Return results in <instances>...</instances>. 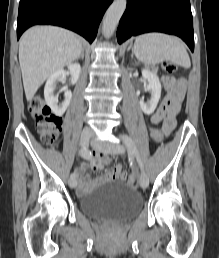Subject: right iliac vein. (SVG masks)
<instances>
[{
	"label": "right iliac vein",
	"instance_id": "1",
	"mask_svg": "<svg viewBox=\"0 0 219 258\" xmlns=\"http://www.w3.org/2000/svg\"><path fill=\"white\" fill-rule=\"evenodd\" d=\"M91 139V132L88 130H83L80 136V144L84 147H87ZM68 184L71 188H75L77 181L75 178H70Z\"/></svg>",
	"mask_w": 219,
	"mask_h": 258
}]
</instances>
